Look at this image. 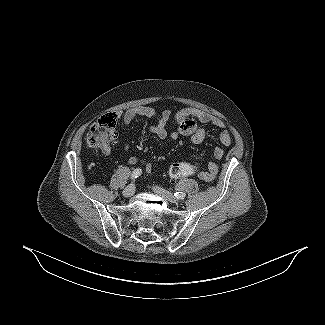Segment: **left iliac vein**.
<instances>
[{"label": "left iliac vein", "mask_w": 325, "mask_h": 325, "mask_svg": "<svg viewBox=\"0 0 325 325\" xmlns=\"http://www.w3.org/2000/svg\"><path fill=\"white\" fill-rule=\"evenodd\" d=\"M153 190L155 193H157L158 195L164 197L165 199H167L169 202L171 203H177L178 202V198H176L172 193L166 191L165 189L159 187V186H154Z\"/></svg>", "instance_id": "obj_1"}]
</instances>
